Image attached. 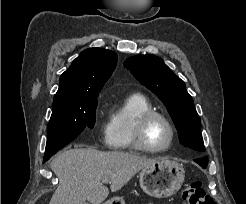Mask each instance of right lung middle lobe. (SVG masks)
Wrapping results in <instances>:
<instances>
[{"instance_id":"right-lung-middle-lobe-1","label":"right lung middle lobe","mask_w":246,"mask_h":204,"mask_svg":"<svg viewBox=\"0 0 246 204\" xmlns=\"http://www.w3.org/2000/svg\"><path fill=\"white\" fill-rule=\"evenodd\" d=\"M98 94L52 104L44 158L73 141L86 127L93 128Z\"/></svg>"}]
</instances>
